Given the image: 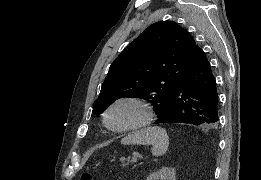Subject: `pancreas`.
I'll return each instance as SVG.
<instances>
[{"instance_id":"cf45deb5","label":"pancreas","mask_w":261,"mask_h":180,"mask_svg":"<svg viewBox=\"0 0 261 180\" xmlns=\"http://www.w3.org/2000/svg\"><path fill=\"white\" fill-rule=\"evenodd\" d=\"M130 164H136L132 161V158L123 159V162H120V167H130Z\"/></svg>"}]
</instances>
